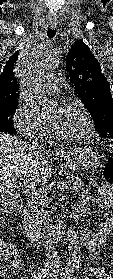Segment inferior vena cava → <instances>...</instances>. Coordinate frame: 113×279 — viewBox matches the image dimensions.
<instances>
[{"label": "inferior vena cava", "mask_w": 113, "mask_h": 279, "mask_svg": "<svg viewBox=\"0 0 113 279\" xmlns=\"http://www.w3.org/2000/svg\"><path fill=\"white\" fill-rule=\"evenodd\" d=\"M31 147L41 152L45 150L44 145L39 143L37 140L32 142ZM45 257H46L45 268L52 272H57L61 267V263H60L59 255L54 245L52 244L48 245Z\"/></svg>", "instance_id": "inferior-vena-cava-1"}]
</instances>
